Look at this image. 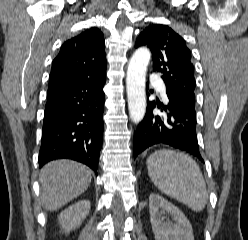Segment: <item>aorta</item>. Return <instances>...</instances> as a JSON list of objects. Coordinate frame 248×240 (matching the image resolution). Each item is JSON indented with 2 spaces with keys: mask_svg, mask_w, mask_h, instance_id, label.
Segmentation results:
<instances>
[{
  "mask_svg": "<svg viewBox=\"0 0 248 240\" xmlns=\"http://www.w3.org/2000/svg\"><path fill=\"white\" fill-rule=\"evenodd\" d=\"M151 58V53L146 48L135 51L128 65L126 86L130 118L134 123H139L146 112V70Z\"/></svg>",
  "mask_w": 248,
  "mask_h": 240,
  "instance_id": "1",
  "label": "aorta"
}]
</instances>
